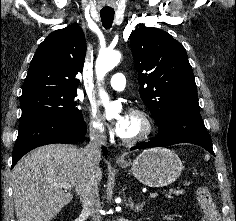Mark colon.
I'll list each match as a JSON object with an SVG mask.
<instances>
[{"label":"colon","mask_w":236,"mask_h":221,"mask_svg":"<svg viewBox=\"0 0 236 221\" xmlns=\"http://www.w3.org/2000/svg\"><path fill=\"white\" fill-rule=\"evenodd\" d=\"M196 199L202 212L201 221H219V211L215 205L212 194L207 187L196 189Z\"/></svg>","instance_id":"1"}]
</instances>
